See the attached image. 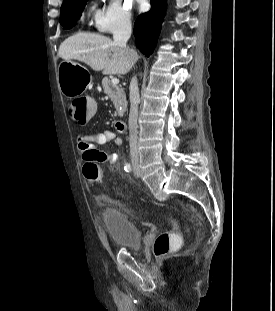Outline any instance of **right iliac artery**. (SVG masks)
Wrapping results in <instances>:
<instances>
[{
  "label": "right iliac artery",
  "mask_w": 275,
  "mask_h": 311,
  "mask_svg": "<svg viewBox=\"0 0 275 311\" xmlns=\"http://www.w3.org/2000/svg\"><path fill=\"white\" fill-rule=\"evenodd\" d=\"M124 170L126 172H130L131 171V164L130 163H126V165L124 166Z\"/></svg>",
  "instance_id": "82829eb1"
}]
</instances>
